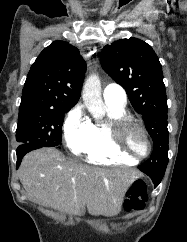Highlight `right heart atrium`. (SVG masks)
<instances>
[{"label":"right heart atrium","mask_w":187,"mask_h":242,"mask_svg":"<svg viewBox=\"0 0 187 242\" xmlns=\"http://www.w3.org/2000/svg\"><path fill=\"white\" fill-rule=\"evenodd\" d=\"M63 130L66 146L75 155L85 153L95 138L94 124L80 106L68 114Z\"/></svg>","instance_id":"obj_1"}]
</instances>
